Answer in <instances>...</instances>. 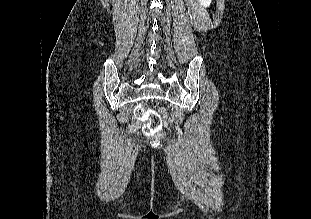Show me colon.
Here are the masks:
<instances>
[{"label": "colon", "instance_id": "5ec220e1", "mask_svg": "<svg viewBox=\"0 0 311 219\" xmlns=\"http://www.w3.org/2000/svg\"><path fill=\"white\" fill-rule=\"evenodd\" d=\"M135 115L138 120L144 122L143 131L147 135L155 136L160 133L163 120L159 111L139 105L135 110Z\"/></svg>", "mask_w": 311, "mask_h": 219}]
</instances>
